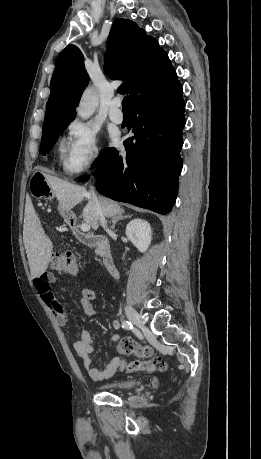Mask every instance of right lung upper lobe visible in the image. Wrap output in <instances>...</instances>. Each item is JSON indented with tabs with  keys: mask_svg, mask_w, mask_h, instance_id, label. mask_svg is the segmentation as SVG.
Instances as JSON below:
<instances>
[{
	"mask_svg": "<svg viewBox=\"0 0 261 459\" xmlns=\"http://www.w3.org/2000/svg\"><path fill=\"white\" fill-rule=\"evenodd\" d=\"M107 44L105 70L110 77L124 80L118 91L130 95L131 107L178 82L167 53L134 22L117 19ZM83 61V54L75 45H68L58 56L43 128L75 118L76 104L89 82Z\"/></svg>",
	"mask_w": 261,
	"mask_h": 459,
	"instance_id": "obj_1",
	"label": "right lung upper lobe"
}]
</instances>
